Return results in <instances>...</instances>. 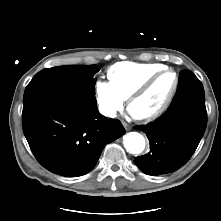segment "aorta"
Listing matches in <instances>:
<instances>
[{
  "label": "aorta",
  "instance_id": "obj_1",
  "mask_svg": "<svg viewBox=\"0 0 221 221\" xmlns=\"http://www.w3.org/2000/svg\"><path fill=\"white\" fill-rule=\"evenodd\" d=\"M125 149L131 154L141 153L145 148L144 137L137 132H129L123 137Z\"/></svg>",
  "mask_w": 221,
  "mask_h": 221
}]
</instances>
